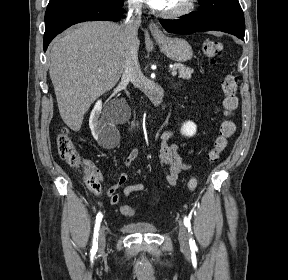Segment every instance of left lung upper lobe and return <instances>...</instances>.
Wrapping results in <instances>:
<instances>
[{
	"label": "left lung upper lobe",
	"mask_w": 288,
	"mask_h": 280,
	"mask_svg": "<svg viewBox=\"0 0 288 280\" xmlns=\"http://www.w3.org/2000/svg\"><path fill=\"white\" fill-rule=\"evenodd\" d=\"M204 14L229 21L230 23L245 29V21L242 8L238 0H198Z\"/></svg>",
	"instance_id": "left-lung-upper-lobe-1"
}]
</instances>
